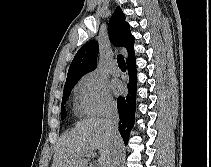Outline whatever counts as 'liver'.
Returning a JSON list of instances; mask_svg holds the SVG:
<instances>
[{
    "mask_svg": "<svg viewBox=\"0 0 211 167\" xmlns=\"http://www.w3.org/2000/svg\"><path fill=\"white\" fill-rule=\"evenodd\" d=\"M122 145L120 136L116 142L113 140L104 119H86L61 136L51 167H88L89 159H85L84 155L95 150L100 155L98 167H112L115 154Z\"/></svg>",
    "mask_w": 211,
    "mask_h": 167,
    "instance_id": "liver-1",
    "label": "liver"
}]
</instances>
